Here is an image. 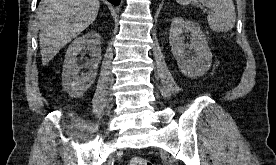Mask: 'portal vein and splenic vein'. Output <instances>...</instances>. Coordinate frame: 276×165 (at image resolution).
I'll list each match as a JSON object with an SVG mask.
<instances>
[{
  "label": "portal vein and splenic vein",
  "mask_w": 276,
  "mask_h": 165,
  "mask_svg": "<svg viewBox=\"0 0 276 165\" xmlns=\"http://www.w3.org/2000/svg\"><path fill=\"white\" fill-rule=\"evenodd\" d=\"M203 12L209 13L210 11L204 8V9H203Z\"/></svg>",
  "instance_id": "obj_1"
}]
</instances>
